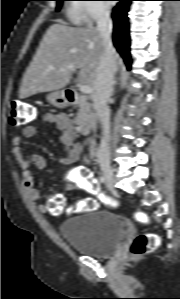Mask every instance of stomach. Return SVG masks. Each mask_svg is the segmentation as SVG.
Returning <instances> with one entry per match:
<instances>
[{
	"mask_svg": "<svg viewBox=\"0 0 180 299\" xmlns=\"http://www.w3.org/2000/svg\"><path fill=\"white\" fill-rule=\"evenodd\" d=\"M46 98L51 105L58 108H64L69 104V101L66 98L64 91H52L47 95Z\"/></svg>",
	"mask_w": 180,
	"mask_h": 299,
	"instance_id": "0dacf381",
	"label": "stomach"
}]
</instances>
